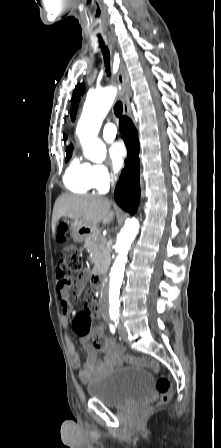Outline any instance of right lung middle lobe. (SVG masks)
<instances>
[{
    "mask_svg": "<svg viewBox=\"0 0 221 448\" xmlns=\"http://www.w3.org/2000/svg\"><path fill=\"white\" fill-rule=\"evenodd\" d=\"M71 155H72V152L66 153V158H65L66 162L70 159Z\"/></svg>",
    "mask_w": 221,
    "mask_h": 448,
    "instance_id": "dd1d6c3e",
    "label": "right lung middle lobe"
}]
</instances>
